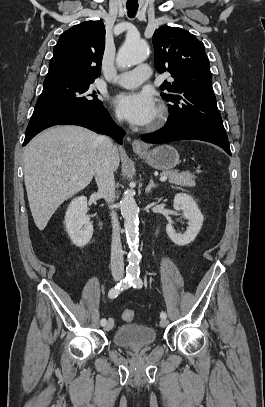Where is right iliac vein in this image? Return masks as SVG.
<instances>
[{"label": "right iliac vein", "instance_id": "1", "mask_svg": "<svg viewBox=\"0 0 265 407\" xmlns=\"http://www.w3.org/2000/svg\"><path fill=\"white\" fill-rule=\"evenodd\" d=\"M113 324H114L113 320H112V319H108V321H107L106 324L104 325V330H105V331L111 330L112 327H113Z\"/></svg>", "mask_w": 265, "mask_h": 407}]
</instances>
